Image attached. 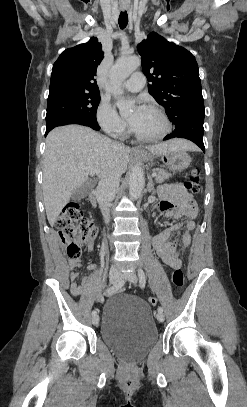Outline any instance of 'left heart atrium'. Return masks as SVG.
<instances>
[{
    "label": "left heart atrium",
    "mask_w": 247,
    "mask_h": 407,
    "mask_svg": "<svg viewBox=\"0 0 247 407\" xmlns=\"http://www.w3.org/2000/svg\"><path fill=\"white\" fill-rule=\"evenodd\" d=\"M145 109H146V107L141 105L140 103L137 105L134 112L128 118V121L132 126L137 123L138 119L140 118L142 113L145 111Z\"/></svg>",
    "instance_id": "39dd6f15"
}]
</instances>
